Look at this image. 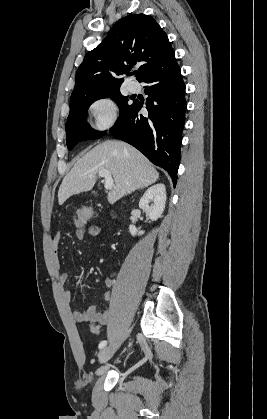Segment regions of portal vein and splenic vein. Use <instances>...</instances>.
<instances>
[{"label": "portal vein and splenic vein", "mask_w": 267, "mask_h": 419, "mask_svg": "<svg viewBox=\"0 0 267 419\" xmlns=\"http://www.w3.org/2000/svg\"><path fill=\"white\" fill-rule=\"evenodd\" d=\"M99 176L105 179V183H104V187L106 190H111L114 187V181L112 178L111 173L106 170V169H102L99 171Z\"/></svg>", "instance_id": "18ae733b"}]
</instances>
